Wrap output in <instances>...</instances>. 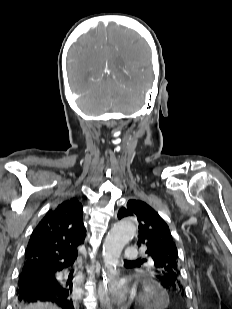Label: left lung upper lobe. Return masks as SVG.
I'll use <instances>...</instances> for the list:
<instances>
[{
    "mask_svg": "<svg viewBox=\"0 0 232 309\" xmlns=\"http://www.w3.org/2000/svg\"><path fill=\"white\" fill-rule=\"evenodd\" d=\"M134 216L139 222L138 246L145 258L138 262L150 263L156 278L172 296H182L178 251L168 225L148 204L140 200H129L118 212V218Z\"/></svg>",
    "mask_w": 232,
    "mask_h": 309,
    "instance_id": "left-lung-upper-lobe-1",
    "label": "left lung upper lobe"
}]
</instances>
